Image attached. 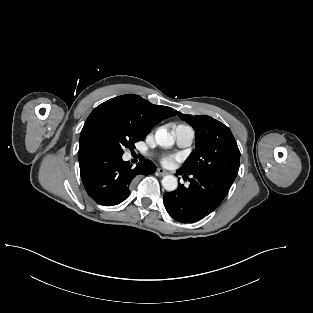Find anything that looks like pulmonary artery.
<instances>
[{
	"label": "pulmonary artery",
	"instance_id": "1",
	"mask_svg": "<svg viewBox=\"0 0 313 313\" xmlns=\"http://www.w3.org/2000/svg\"><path fill=\"white\" fill-rule=\"evenodd\" d=\"M177 145L180 147H188L194 140V131L190 126L179 125L174 130Z\"/></svg>",
	"mask_w": 313,
	"mask_h": 313
}]
</instances>
